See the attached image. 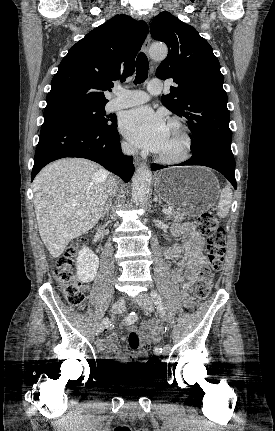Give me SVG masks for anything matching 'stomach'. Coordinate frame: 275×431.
I'll return each instance as SVG.
<instances>
[{"label":"stomach","instance_id":"stomach-1","mask_svg":"<svg viewBox=\"0 0 275 431\" xmlns=\"http://www.w3.org/2000/svg\"><path fill=\"white\" fill-rule=\"evenodd\" d=\"M155 190L179 212L197 216L215 204L220 187L215 175L207 168L177 167L157 174Z\"/></svg>","mask_w":275,"mask_h":431}]
</instances>
